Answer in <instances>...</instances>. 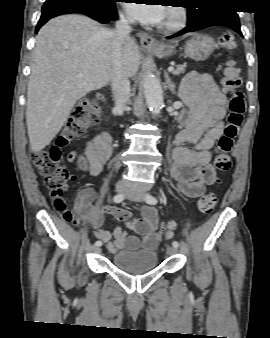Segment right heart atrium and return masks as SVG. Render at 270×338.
Segmentation results:
<instances>
[{
	"mask_svg": "<svg viewBox=\"0 0 270 338\" xmlns=\"http://www.w3.org/2000/svg\"><path fill=\"white\" fill-rule=\"evenodd\" d=\"M126 20H129V18L127 16L124 17Z\"/></svg>",
	"mask_w": 270,
	"mask_h": 338,
	"instance_id": "1",
	"label": "right heart atrium"
}]
</instances>
